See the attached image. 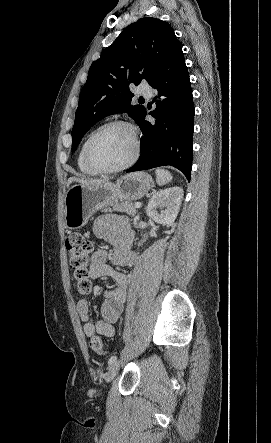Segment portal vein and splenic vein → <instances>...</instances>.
<instances>
[{"label": "portal vein and splenic vein", "instance_id": "18ae733b", "mask_svg": "<svg viewBox=\"0 0 271 443\" xmlns=\"http://www.w3.org/2000/svg\"><path fill=\"white\" fill-rule=\"evenodd\" d=\"M135 208H141V202H136Z\"/></svg>", "mask_w": 271, "mask_h": 443}]
</instances>
